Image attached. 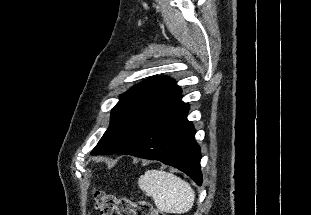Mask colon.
I'll use <instances>...</instances> for the list:
<instances>
[{"label": "colon", "mask_w": 311, "mask_h": 215, "mask_svg": "<svg viewBox=\"0 0 311 215\" xmlns=\"http://www.w3.org/2000/svg\"><path fill=\"white\" fill-rule=\"evenodd\" d=\"M94 207L101 215H165L145 200L134 201L126 196L94 189Z\"/></svg>", "instance_id": "colon-1"}]
</instances>
